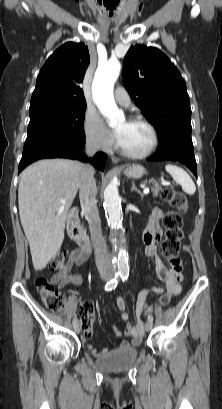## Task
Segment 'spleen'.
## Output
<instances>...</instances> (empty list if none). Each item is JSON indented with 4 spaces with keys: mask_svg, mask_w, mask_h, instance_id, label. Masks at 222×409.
<instances>
[{
    "mask_svg": "<svg viewBox=\"0 0 222 409\" xmlns=\"http://www.w3.org/2000/svg\"><path fill=\"white\" fill-rule=\"evenodd\" d=\"M166 171L172 176L176 183L181 185L182 190L185 193L189 195L195 193L196 191L195 184L186 171H184L180 167L171 164L166 165Z\"/></svg>",
    "mask_w": 222,
    "mask_h": 409,
    "instance_id": "spleen-1",
    "label": "spleen"
}]
</instances>
